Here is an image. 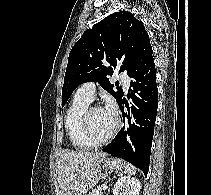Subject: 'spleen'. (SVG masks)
<instances>
[{"label":"spleen","instance_id":"spleen-1","mask_svg":"<svg viewBox=\"0 0 211 195\" xmlns=\"http://www.w3.org/2000/svg\"><path fill=\"white\" fill-rule=\"evenodd\" d=\"M126 174L132 175L136 173V168L132 166L131 164H127L125 166V171Z\"/></svg>","mask_w":211,"mask_h":195}]
</instances>
